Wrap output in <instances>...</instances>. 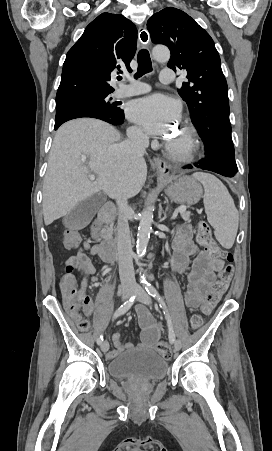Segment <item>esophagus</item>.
I'll use <instances>...</instances> for the list:
<instances>
[{
    "instance_id": "34e87169",
    "label": "esophagus",
    "mask_w": 272,
    "mask_h": 451,
    "mask_svg": "<svg viewBox=\"0 0 272 451\" xmlns=\"http://www.w3.org/2000/svg\"><path fill=\"white\" fill-rule=\"evenodd\" d=\"M139 41L143 45H147L150 42V36H149L147 30L144 29L143 27H141L139 29ZM152 163L156 166L157 172H159V174L162 177L168 176L171 167H170V165H168V163H166L165 160H163L162 158H159V157H154L152 160Z\"/></svg>"
}]
</instances>
